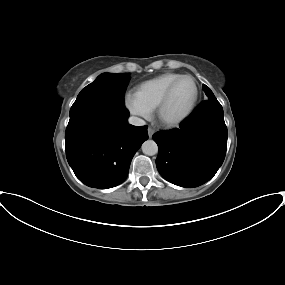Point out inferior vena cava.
Wrapping results in <instances>:
<instances>
[{"label": "inferior vena cava", "mask_w": 285, "mask_h": 285, "mask_svg": "<svg viewBox=\"0 0 285 285\" xmlns=\"http://www.w3.org/2000/svg\"><path fill=\"white\" fill-rule=\"evenodd\" d=\"M128 121H129V124L134 125V126L145 125V121L143 119L135 117V116H131Z\"/></svg>", "instance_id": "obj_1"}]
</instances>
